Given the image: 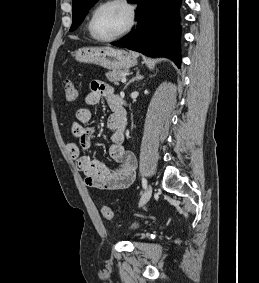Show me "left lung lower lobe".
Wrapping results in <instances>:
<instances>
[{
    "label": "left lung lower lobe",
    "instance_id": "obj_1",
    "mask_svg": "<svg viewBox=\"0 0 259 283\" xmlns=\"http://www.w3.org/2000/svg\"><path fill=\"white\" fill-rule=\"evenodd\" d=\"M139 4L138 24L124 39L113 43L118 47L147 56H165L180 67L179 7L181 0H133Z\"/></svg>",
    "mask_w": 259,
    "mask_h": 283
}]
</instances>
